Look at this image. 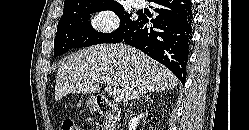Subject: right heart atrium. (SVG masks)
I'll return each mask as SVG.
<instances>
[{
	"mask_svg": "<svg viewBox=\"0 0 249 130\" xmlns=\"http://www.w3.org/2000/svg\"><path fill=\"white\" fill-rule=\"evenodd\" d=\"M89 25L99 33L110 34L118 28L119 18L112 9L102 8L91 15Z\"/></svg>",
	"mask_w": 249,
	"mask_h": 130,
	"instance_id": "right-heart-atrium-1",
	"label": "right heart atrium"
}]
</instances>
